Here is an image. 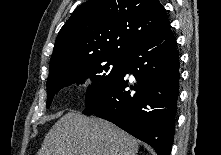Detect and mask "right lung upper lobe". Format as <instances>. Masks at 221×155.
<instances>
[{"label":"right lung upper lobe","mask_w":221,"mask_h":155,"mask_svg":"<svg viewBox=\"0 0 221 155\" xmlns=\"http://www.w3.org/2000/svg\"><path fill=\"white\" fill-rule=\"evenodd\" d=\"M169 26L158 0H88L61 28L49 75L82 60L127 57L141 39Z\"/></svg>","instance_id":"obj_1"}]
</instances>
